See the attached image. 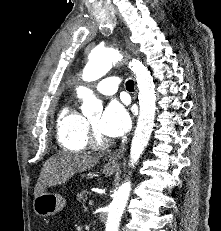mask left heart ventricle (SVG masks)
<instances>
[{
    "label": "left heart ventricle",
    "instance_id": "obj_1",
    "mask_svg": "<svg viewBox=\"0 0 221 231\" xmlns=\"http://www.w3.org/2000/svg\"><path fill=\"white\" fill-rule=\"evenodd\" d=\"M99 120H100V116H95L91 119H89V122L92 124V126L99 132L98 130V123H99Z\"/></svg>",
    "mask_w": 221,
    "mask_h": 231
}]
</instances>
